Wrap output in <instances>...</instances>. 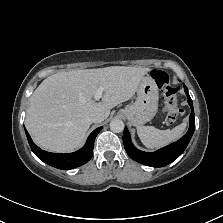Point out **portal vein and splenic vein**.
I'll return each mask as SVG.
<instances>
[{
  "instance_id": "portal-vein-and-splenic-vein-1",
  "label": "portal vein and splenic vein",
  "mask_w": 223,
  "mask_h": 223,
  "mask_svg": "<svg viewBox=\"0 0 223 223\" xmlns=\"http://www.w3.org/2000/svg\"><path fill=\"white\" fill-rule=\"evenodd\" d=\"M104 90H106V87H99V88H97L96 91H95V94L93 96V100L94 101L100 100Z\"/></svg>"
}]
</instances>
